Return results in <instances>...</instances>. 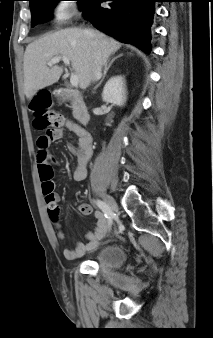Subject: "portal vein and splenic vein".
Wrapping results in <instances>:
<instances>
[{
	"label": "portal vein and splenic vein",
	"instance_id": "18ae733b",
	"mask_svg": "<svg viewBox=\"0 0 213 338\" xmlns=\"http://www.w3.org/2000/svg\"><path fill=\"white\" fill-rule=\"evenodd\" d=\"M60 60H62L66 65H70V60L65 57V56H62V57H54L52 58L48 63L47 65L48 66H53L55 65L56 63H59ZM70 83L73 87H77L78 86V83H79V78L77 76V74L75 73H72L71 76H70Z\"/></svg>",
	"mask_w": 213,
	"mask_h": 338
}]
</instances>
